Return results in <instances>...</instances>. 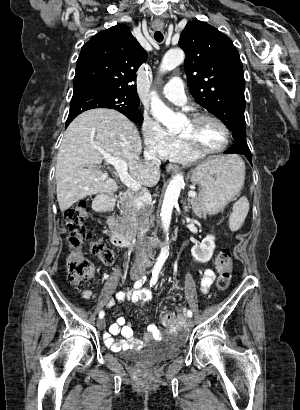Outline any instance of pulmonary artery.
<instances>
[{
	"label": "pulmonary artery",
	"instance_id": "1",
	"mask_svg": "<svg viewBox=\"0 0 300 410\" xmlns=\"http://www.w3.org/2000/svg\"><path fill=\"white\" fill-rule=\"evenodd\" d=\"M183 86L184 83L181 78L173 77L164 86L162 94L167 100L178 105H183L187 100Z\"/></svg>",
	"mask_w": 300,
	"mask_h": 410
}]
</instances>
